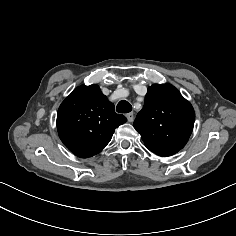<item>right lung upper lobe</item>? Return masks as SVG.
Here are the masks:
<instances>
[{
	"mask_svg": "<svg viewBox=\"0 0 236 236\" xmlns=\"http://www.w3.org/2000/svg\"><path fill=\"white\" fill-rule=\"evenodd\" d=\"M127 121L116 114L114 104L98 85L77 87L60 105L57 130L63 144L80 158L92 157L105 148L117 127Z\"/></svg>",
	"mask_w": 236,
	"mask_h": 236,
	"instance_id": "obj_1",
	"label": "right lung upper lobe"
}]
</instances>
